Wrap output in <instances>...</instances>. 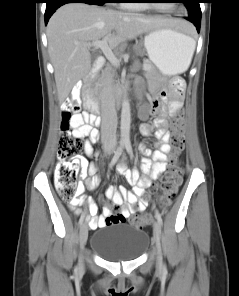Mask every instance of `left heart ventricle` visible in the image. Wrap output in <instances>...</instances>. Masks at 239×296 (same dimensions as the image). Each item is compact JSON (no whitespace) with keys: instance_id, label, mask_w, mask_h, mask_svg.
Instances as JSON below:
<instances>
[{"instance_id":"obj_1","label":"left heart ventricle","mask_w":239,"mask_h":296,"mask_svg":"<svg viewBox=\"0 0 239 296\" xmlns=\"http://www.w3.org/2000/svg\"><path fill=\"white\" fill-rule=\"evenodd\" d=\"M155 4H157L158 6L163 7V8H168L169 6H172L173 3L160 1L159 3H155Z\"/></svg>"}]
</instances>
